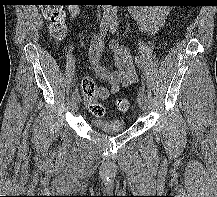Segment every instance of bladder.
<instances>
[{
	"mask_svg": "<svg viewBox=\"0 0 217 197\" xmlns=\"http://www.w3.org/2000/svg\"><path fill=\"white\" fill-rule=\"evenodd\" d=\"M92 126L105 134L121 133L125 130L124 123L121 119H94Z\"/></svg>",
	"mask_w": 217,
	"mask_h": 197,
	"instance_id": "31cf9c89",
	"label": "bladder"
}]
</instances>
